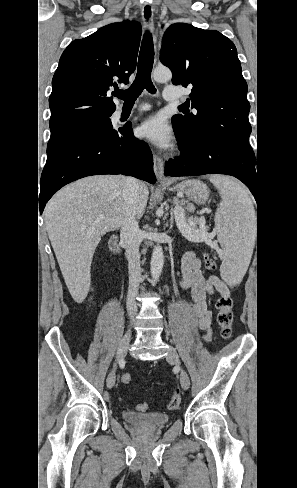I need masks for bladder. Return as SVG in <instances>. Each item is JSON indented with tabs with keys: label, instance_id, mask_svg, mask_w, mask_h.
Returning a JSON list of instances; mask_svg holds the SVG:
<instances>
[{
	"label": "bladder",
	"instance_id": "bladder-1",
	"mask_svg": "<svg viewBox=\"0 0 297 488\" xmlns=\"http://www.w3.org/2000/svg\"><path fill=\"white\" fill-rule=\"evenodd\" d=\"M123 419L130 425L143 429L153 430L165 426L169 420V415L160 412L136 413L125 411L122 413Z\"/></svg>",
	"mask_w": 297,
	"mask_h": 488
}]
</instances>
